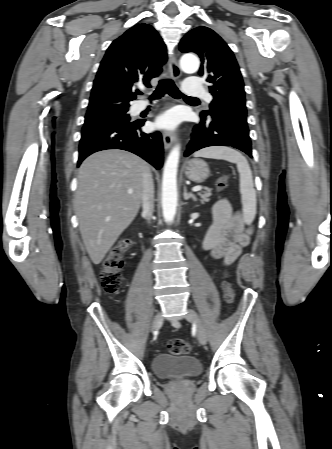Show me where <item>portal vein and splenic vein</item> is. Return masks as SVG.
Instances as JSON below:
<instances>
[{
    "instance_id": "obj_1",
    "label": "portal vein and splenic vein",
    "mask_w": 332,
    "mask_h": 449,
    "mask_svg": "<svg viewBox=\"0 0 332 449\" xmlns=\"http://www.w3.org/2000/svg\"><path fill=\"white\" fill-rule=\"evenodd\" d=\"M202 189V186H195L192 188V191L197 192L200 191ZM129 194H132V191H128Z\"/></svg>"
}]
</instances>
